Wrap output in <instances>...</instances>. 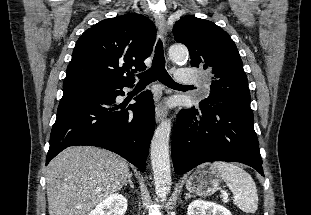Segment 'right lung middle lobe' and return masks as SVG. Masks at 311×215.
<instances>
[{
	"label": "right lung middle lobe",
	"mask_w": 311,
	"mask_h": 215,
	"mask_svg": "<svg viewBox=\"0 0 311 215\" xmlns=\"http://www.w3.org/2000/svg\"><path fill=\"white\" fill-rule=\"evenodd\" d=\"M92 84H72L63 86V92L73 91V90H88L91 89Z\"/></svg>",
	"instance_id": "obj_1"
}]
</instances>
